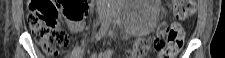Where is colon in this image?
I'll list each match as a JSON object with an SVG mask.
<instances>
[{
	"mask_svg": "<svg viewBox=\"0 0 225 58\" xmlns=\"http://www.w3.org/2000/svg\"><path fill=\"white\" fill-rule=\"evenodd\" d=\"M59 5L64 17L70 21L82 20L87 13V4L83 0L51 1L31 0L28 5V25L42 50L47 56L54 57L67 45L68 36L58 21ZM172 11L176 18L182 19L193 14V0H174ZM184 41V30L176 25L161 27L159 36L153 41V48L160 51L161 58H174ZM150 47L145 43H136L127 53V58L145 57Z\"/></svg>",
	"mask_w": 225,
	"mask_h": 58,
	"instance_id": "1",
	"label": "colon"
}]
</instances>
